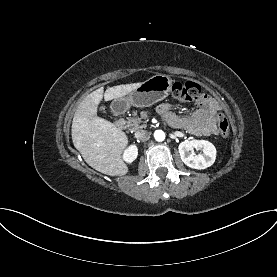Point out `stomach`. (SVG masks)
<instances>
[{"label":"stomach","mask_w":277,"mask_h":277,"mask_svg":"<svg viewBox=\"0 0 277 277\" xmlns=\"http://www.w3.org/2000/svg\"><path fill=\"white\" fill-rule=\"evenodd\" d=\"M172 90V80L168 75L157 74L130 92L127 96L116 98L112 102V109L124 112L130 108L148 107L164 99Z\"/></svg>","instance_id":"stomach-1"}]
</instances>
